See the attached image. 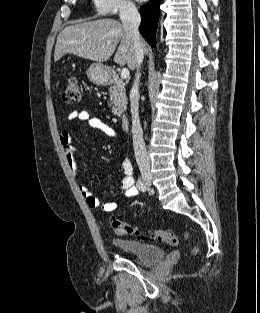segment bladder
Listing matches in <instances>:
<instances>
[{"label": "bladder", "instance_id": "31cf9c89", "mask_svg": "<svg viewBox=\"0 0 260 313\" xmlns=\"http://www.w3.org/2000/svg\"><path fill=\"white\" fill-rule=\"evenodd\" d=\"M111 242L114 246L134 256L141 263L149 264L158 262L165 257L164 250L161 247L139 240L113 238Z\"/></svg>", "mask_w": 260, "mask_h": 313}]
</instances>
